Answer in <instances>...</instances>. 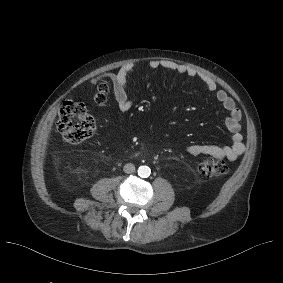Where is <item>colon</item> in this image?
<instances>
[{
    "label": "colon",
    "mask_w": 283,
    "mask_h": 283,
    "mask_svg": "<svg viewBox=\"0 0 283 283\" xmlns=\"http://www.w3.org/2000/svg\"><path fill=\"white\" fill-rule=\"evenodd\" d=\"M109 85L100 83L94 94V101L103 105L107 100ZM95 123L87 113L83 104L74 101H65L59 111L57 129L63 139L70 144H78L93 134ZM197 169L207 177H221L228 172V166L223 160L207 158L202 160Z\"/></svg>",
    "instance_id": "obj_1"
}]
</instances>
